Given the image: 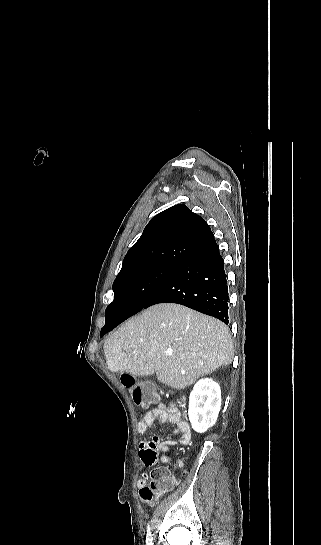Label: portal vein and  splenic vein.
<instances>
[{
	"label": "portal vein and splenic vein",
	"mask_w": 321,
	"mask_h": 545,
	"mask_svg": "<svg viewBox=\"0 0 321 545\" xmlns=\"http://www.w3.org/2000/svg\"><path fill=\"white\" fill-rule=\"evenodd\" d=\"M168 355H172V351H167Z\"/></svg>",
	"instance_id": "obj_1"
}]
</instances>
